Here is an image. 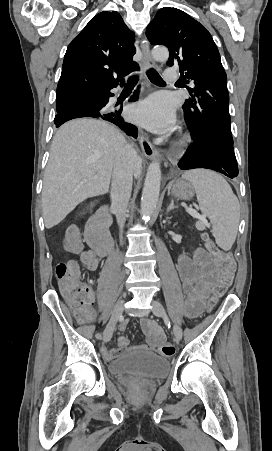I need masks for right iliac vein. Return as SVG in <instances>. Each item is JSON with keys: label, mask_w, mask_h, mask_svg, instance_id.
Returning a JSON list of instances; mask_svg holds the SVG:
<instances>
[{"label": "right iliac vein", "mask_w": 272, "mask_h": 451, "mask_svg": "<svg viewBox=\"0 0 272 451\" xmlns=\"http://www.w3.org/2000/svg\"><path fill=\"white\" fill-rule=\"evenodd\" d=\"M123 308H124V300L118 301L116 303V305L114 306L112 314H111L110 323L104 330V334H103L104 342H108L111 339L114 328L116 326V322L119 320V318L121 317V315L123 313Z\"/></svg>", "instance_id": "1"}]
</instances>
